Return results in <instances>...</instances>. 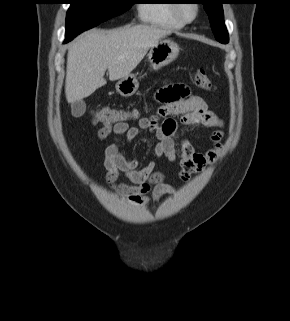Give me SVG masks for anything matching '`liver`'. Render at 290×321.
Listing matches in <instances>:
<instances>
[{"instance_id":"obj_1","label":"liver","mask_w":290,"mask_h":321,"mask_svg":"<svg viewBox=\"0 0 290 321\" xmlns=\"http://www.w3.org/2000/svg\"><path fill=\"white\" fill-rule=\"evenodd\" d=\"M170 32L155 26L92 29L68 49L65 94L69 103L82 101L107 82L130 75L148 50Z\"/></svg>"}]
</instances>
